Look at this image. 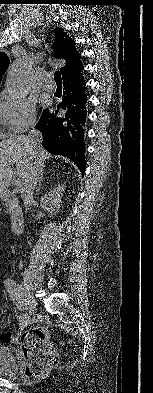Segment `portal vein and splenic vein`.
<instances>
[{
    "label": "portal vein and splenic vein",
    "instance_id": "18ae733b",
    "mask_svg": "<svg viewBox=\"0 0 153 393\" xmlns=\"http://www.w3.org/2000/svg\"><path fill=\"white\" fill-rule=\"evenodd\" d=\"M15 185L18 186V187L21 186V182H20L19 179L16 181Z\"/></svg>",
    "mask_w": 153,
    "mask_h": 393
}]
</instances>
